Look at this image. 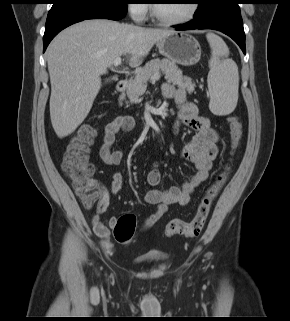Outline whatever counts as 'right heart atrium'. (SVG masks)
Here are the masks:
<instances>
[{"label":"right heart atrium","mask_w":290,"mask_h":321,"mask_svg":"<svg viewBox=\"0 0 290 321\" xmlns=\"http://www.w3.org/2000/svg\"><path fill=\"white\" fill-rule=\"evenodd\" d=\"M127 11L135 21H143L148 13L146 0H131L128 3Z\"/></svg>","instance_id":"obj_1"}]
</instances>
